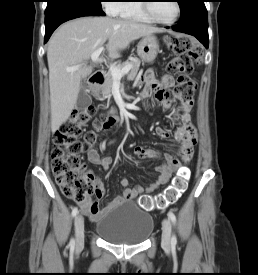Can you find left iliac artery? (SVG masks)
<instances>
[{
	"instance_id": "44dca946",
	"label": "left iliac artery",
	"mask_w": 258,
	"mask_h": 275,
	"mask_svg": "<svg viewBox=\"0 0 258 275\" xmlns=\"http://www.w3.org/2000/svg\"><path fill=\"white\" fill-rule=\"evenodd\" d=\"M168 217L170 218V220L172 221V223L175 225L176 224V216L172 211L168 212ZM177 244V238L176 235L174 234L171 238V245L175 246Z\"/></svg>"
}]
</instances>
